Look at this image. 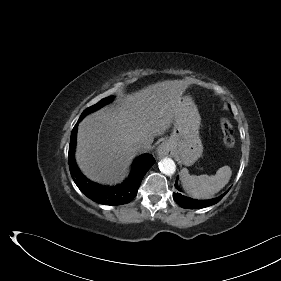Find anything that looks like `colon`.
Instances as JSON below:
<instances>
[{
	"mask_svg": "<svg viewBox=\"0 0 281 281\" xmlns=\"http://www.w3.org/2000/svg\"><path fill=\"white\" fill-rule=\"evenodd\" d=\"M220 127L223 133V143L227 148H232L234 147L236 143V138L234 135V130L229 122L228 119L226 118H221L220 119Z\"/></svg>",
	"mask_w": 281,
	"mask_h": 281,
	"instance_id": "obj_1",
	"label": "colon"
}]
</instances>
